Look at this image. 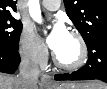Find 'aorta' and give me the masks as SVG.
<instances>
[{"mask_svg":"<svg viewBox=\"0 0 107 89\" xmlns=\"http://www.w3.org/2000/svg\"><path fill=\"white\" fill-rule=\"evenodd\" d=\"M28 7L32 19L37 23H42L39 0H29Z\"/></svg>","mask_w":107,"mask_h":89,"instance_id":"1","label":"aorta"}]
</instances>
